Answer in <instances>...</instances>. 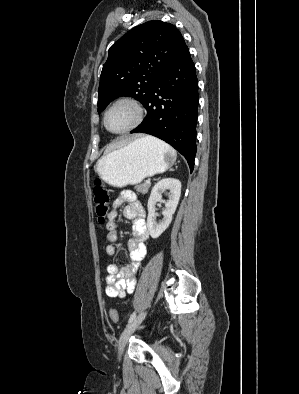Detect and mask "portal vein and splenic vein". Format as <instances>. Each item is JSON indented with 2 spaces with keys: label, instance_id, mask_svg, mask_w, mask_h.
<instances>
[{
  "label": "portal vein and splenic vein",
  "instance_id": "obj_1",
  "mask_svg": "<svg viewBox=\"0 0 299 394\" xmlns=\"http://www.w3.org/2000/svg\"><path fill=\"white\" fill-rule=\"evenodd\" d=\"M146 183H147V184H151L150 179H147V180H146Z\"/></svg>",
  "mask_w": 299,
  "mask_h": 394
}]
</instances>
